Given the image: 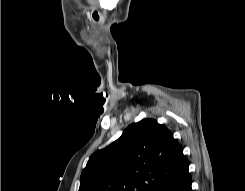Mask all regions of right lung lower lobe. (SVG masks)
<instances>
[{
	"instance_id": "1",
	"label": "right lung lower lobe",
	"mask_w": 245,
	"mask_h": 191,
	"mask_svg": "<svg viewBox=\"0 0 245 191\" xmlns=\"http://www.w3.org/2000/svg\"><path fill=\"white\" fill-rule=\"evenodd\" d=\"M157 191H193L188 168L178 177L163 184Z\"/></svg>"
}]
</instances>
